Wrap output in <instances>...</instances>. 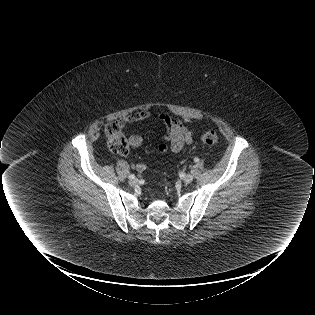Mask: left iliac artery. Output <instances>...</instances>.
<instances>
[{"mask_svg":"<svg viewBox=\"0 0 315 315\" xmlns=\"http://www.w3.org/2000/svg\"><path fill=\"white\" fill-rule=\"evenodd\" d=\"M194 161H195V162H198V161H199V158H195Z\"/></svg>","mask_w":315,"mask_h":315,"instance_id":"1","label":"left iliac artery"}]
</instances>
